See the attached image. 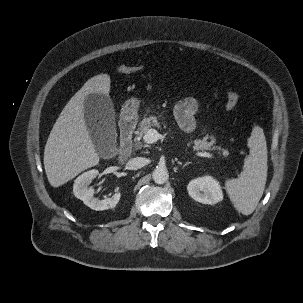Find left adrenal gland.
<instances>
[{
	"mask_svg": "<svg viewBox=\"0 0 303 303\" xmlns=\"http://www.w3.org/2000/svg\"><path fill=\"white\" fill-rule=\"evenodd\" d=\"M191 164V162H186L184 165H183V168L186 167L187 165Z\"/></svg>",
	"mask_w": 303,
	"mask_h": 303,
	"instance_id": "a2214340",
	"label": "left adrenal gland"
}]
</instances>
